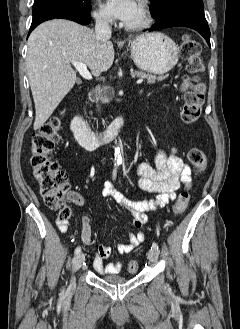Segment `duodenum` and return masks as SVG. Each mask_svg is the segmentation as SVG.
<instances>
[{
  "mask_svg": "<svg viewBox=\"0 0 240 329\" xmlns=\"http://www.w3.org/2000/svg\"><path fill=\"white\" fill-rule=\"evenodd\" d=\"M126 122V116L114 120L104 131L91 130L78 113L71 118L70 128L76 141L86 149H93L100 143L112 141L122 130Z\"/></svg>",
  "mask_w": 240,
  "mask_h": 329,
  "instance_id": "1",
  "label": "duodenum"
}]
</instances>
